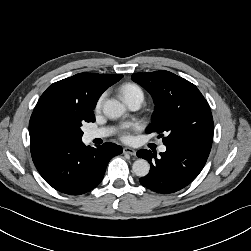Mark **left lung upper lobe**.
I'll return each instance as SVG.
<instances>
[{"label":"left lung upper lobe","mask_w":251,"mask_h":251,"mask_svg":"<svg viewBox=\"0 0 251 251\" xmlns=\"http://www.w3.org/2000/svg\"><path fill=\"white\" fill-rule=\"evenodd\" d=\"M132 80L153 97L155 111L146 133H167L166 146L212 143L214 124L208 102L191 82L165 70L135 73Z\"/></svg>","instance_id":"5c2ea615"}]
</instances>
